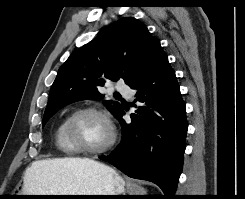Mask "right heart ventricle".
<instances>
[{
	"label": "right heart ventricle",
	"mask_w": 245,
	"mask_h": 199,
	"mask_svg": "<svg viewBox=\"0 0 245 199\" xmlns=\"http://www.w3.org/2000/svg\"><path fill=\"white\" fill-rule=\"evenodd\" d=\"M65 122L66 119L62 120L60 124L58 125L55 134V144L58 147V149L65 155V156H74L77 154V152L72 148L69 141L67 140L65 136Z\"/></svg>",
	"instance_id": "obj_1"
}]
</instances>
